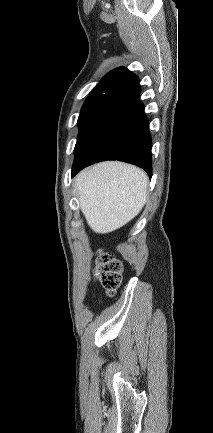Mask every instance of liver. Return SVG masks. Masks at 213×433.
<instances>
[{"label": "liver", "instance_id": "1", "mask_svg": "<svg viewBox=\"0 0 213 433\" xmlns=\"http://www.w3.org/2000/svg\"><path fill=\"white\" fill-rule=\"evenodd\" d=\"M148 181L142 169L117 161L101 162L81 171L75 187L90 228L105 234L136 217L147 201Z\"/></svg>", "mask_w": 213, "mask_h": 433}]
</instances>
